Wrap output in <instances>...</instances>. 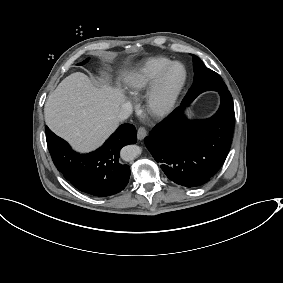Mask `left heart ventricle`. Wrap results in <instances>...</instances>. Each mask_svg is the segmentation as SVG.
<instances>
[{
	"label": "left heart ventricle",
	"mask_w": 283,
	"mask_h": 283,
	"mask_svg": "<svg viewBox=\"0 0 283 283\" xmlns=\"http://www.w3.org/2000/svg\"><path fill=\"white\" fill-rule=\"evenodd\" d=\"M183 78V68L181 65L173 66L163 79L161 91L162 96L169 95Z\"/></svg>",
	"instance_id": "obj_1"
}]
</instances>
